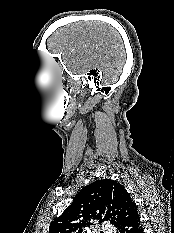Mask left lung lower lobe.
Segmentation results:
<instances>
[{
    "mask_svg": "<svg viewBox=\"0 0 174 233\" xmlns=\"http://www.w3.org/2000/svg\"><path fill=\"white\" fill-rule=\"evenodd\" d=\"M119 233H144L140 217L136 211L133 215L117 227Z\"/></svg>",
    "mask_w": 174,
    "mask_h": 233,
    "instance_id": "obj_1",
    "label": "left lung lower lobe"
}]
</instances>
